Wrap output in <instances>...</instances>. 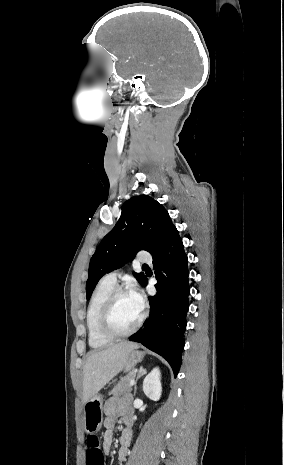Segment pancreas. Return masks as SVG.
<instances>
[{
  "mask_svg": "<svg viewBox=\"0 0 284 465\" xmlns=\"http://www.w3.org/2000/svg\"><path fill=\"white\" fill-rule=\"evenodd\" d=\"M135 373L134 371H131V373H128L124 379H121L119 381L118 385L112 389L110 395H114V397H120V395H125V393H131L132 387L130 385L132 379H134Z\"/></svg>",
  "mask_w": 284,
  "mask_h": 465,
  "instance_id": "1",
  "label": "pancreas"
}]
</instances>
